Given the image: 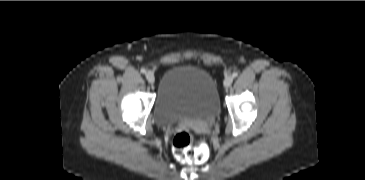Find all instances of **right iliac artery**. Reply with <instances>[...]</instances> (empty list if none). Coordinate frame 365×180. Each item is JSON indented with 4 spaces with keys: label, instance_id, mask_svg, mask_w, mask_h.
Returning a JSON list of instances; mask_svg holds the SVG:
<instances>
[{
    "label": "right iliac artery",
    "instance_id": "1",
    "mask_svg": "<svg viewBox=\"0 0 365 180\" xmlns=\"http://www.w3.org/2000/svg\"><path fill=\"white\" fill-rule=\"evenodd\" d=\"M141 73H146V70H145V68H141Z\"/></svg>",
    "mask_w": 365,
    "mask_h": 180
}]
</instances>
